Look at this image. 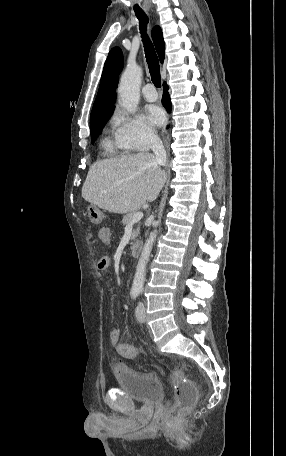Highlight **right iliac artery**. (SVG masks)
<instances>
[{
    "instance_id": "82829eb1",
    "label": "right iliac artery",
    "mask_w": 286,
    "mask_h": 456,
    "mask_svg": "<svg viewBox=\"0 0 286 456\" xmlns=\"http://www.w3.org/2000/svg\"><path fill=\"white\" fill-rule=\"evenodd\" d=\"M138 294H139V291H138V290H132V291H131V297H132L133 299H136V297L138 296Z\"/></svg>"
}]
</instances>
